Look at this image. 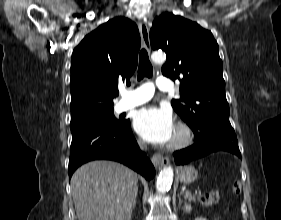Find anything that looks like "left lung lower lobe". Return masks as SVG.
Masks as SVG:
<instances>
[{"label": "left lung lower lobe", "mask_w": 281, "mask_h": 220, "mask_svg": "<svg viewBox=\"0 0 281 220\" xmlns=\"http://www.w3.org/2000/svg\"><path fill=\"white\" fill-rule=\"evenodd\" d=\"M195 143L183 150L174 152L177 165H184L212 152L226 151L238 157L241 153L236 134L231 124L206 123L193 130Z\"/></svg>", "instance_id": "0a47b994"}]
</instances>
